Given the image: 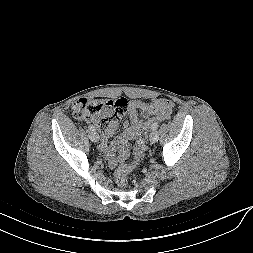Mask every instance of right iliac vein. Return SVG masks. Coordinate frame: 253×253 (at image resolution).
<instances>
[{
	"instance_id": "1",
	"label": "right iliac vein",
	"mask_w": 253,
	"mask_h": 253,
	"mask_svg": "<svg viewBox=\"0 0 253 253\" xmlns=\"http://www.w3.org/2000/svg\"><path fill=\"white\" fill-rule=\"evenodd\" d=\"M89 138L92 142H98L99 141V135L94 131L89 133Z\"/></svg>"
}]
</instances>
